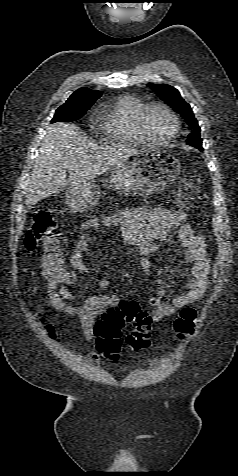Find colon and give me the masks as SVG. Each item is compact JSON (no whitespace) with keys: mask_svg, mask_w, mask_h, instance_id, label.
Wrapping results in <instances>:
<instances>
[{"mask_svg":"<svg viewBox=\"0 0 238 476\" xmlns=\"http://www.w3.org/2000/svg\"><path fill=\"white\" fill-rule=\"evenodd\" d=\"M176 204L187 210H198L206 204V195L196 184L182 179L175 197ZM57 223L45 208L34 212L31 225L25 237L29 251L39 247L47 249L44 268L47 277L54 283H67L71 278L64 269L60 252L56 248ZM198 313L194 308L185 307L174 320V331L179 339L193 335L196 330ZM128 324L133 330L126 336L125 343L132 350L140 351L150 345L151 317L134 301H121L108 308L96 324V346L109 359H118L121 349V330ZM49 331L52 333L51 328Z\"/></svg>","mask_w":238,"mask_h":476,"instance_id":"obj_1","label":"colon"}]
</instances>
